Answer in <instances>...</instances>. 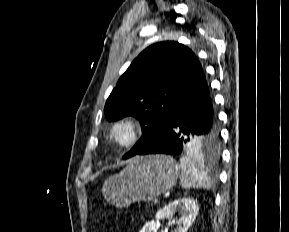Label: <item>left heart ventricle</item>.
<instances>
[{"label": "left heart ventricle", "instance_id": "b2bd125f", "mask_svg": "<svg viewBox=\"0 0 289 232\" xmlns=\"http://www.w3.org/2000/svg\"><path fill=\"white\" fill-rule=\"evenodd\" d=\"M128 134H129V132L125 128H122L117 132V136L120 140L126 139L128 137Z\"/></svg>", "mask_w": 289, "mask_h": 232}]
</instances>
